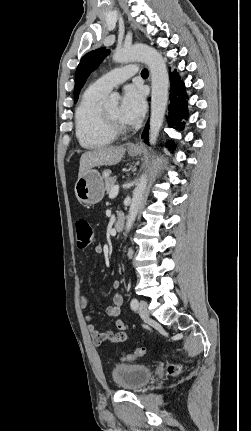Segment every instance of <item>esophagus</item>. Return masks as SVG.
Instances as JSON below:
<instances>
[{
    "mask_svg": "<svg viewBox=\"0 0 251 431\" xmlns=\"http://www.w3.org/2000/svg\"><path fill=\"white\" fill-rule=\"evenodd\" d=\"M131 26H132V27H133V29L135 30V27H134L133 25H131ZM130 149H132V150H133V149H134V150H135V149H137V145H136V144L131 145V146H130Z\"/></svg>",
    "mask_w": 251,
    "mask_h": 431,
    "instance_id": "esophagus-1",
    "label": "esophagus"
}]
</instances>
